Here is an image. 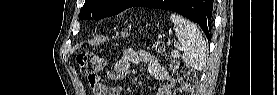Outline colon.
<instances>
[{
  "instance_id": "5ec220e1",
  "label": "colon",
  "mask_w": 277,
  "mask_h": 95,
  "mask_svg": "<svg viewBox=\"0 0 277 95\" xmlns=\"http://www.w3.org/2000/svg\"><path fill=\"white\" fill-rule=\"evenodd\" d=\"M155 49L157 51H162V44L156 42ZM77 63L80 67L81 73L87 76L89 80H92L103 68L104 60L100 55L95 53H82L77 56ZM171 69L175 78H177L181 84L180 88L175 94H192L198 82L196 73L187 65L179 62H173L171 64Z\"/></svg>"
}]
</instances>
